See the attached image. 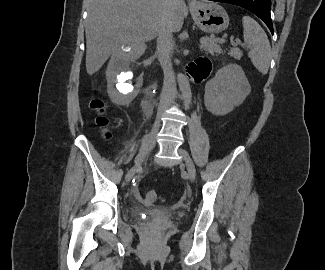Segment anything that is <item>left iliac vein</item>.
Wrapping results in <instances>:
<instances>
[{"label": "left iliac vein", "mask_w": 325, "mask_h": 270, "mask_svg": "<svg viewBox=\"0 0 325 270\" xmlns=\"http://www.w3.org/2000/svg\"><path fill=\"white\" fill-rule=\"evenodd\" d=\"M178 152L182 156L185 162L190 180L193 181L195 179L196 170L192 159L190 158V156L187 154L185 150L180 148Z\"/></svg>", "instance_id": "left-iliac-vein-1"}]
</instances>
